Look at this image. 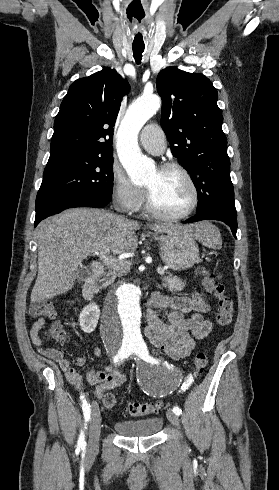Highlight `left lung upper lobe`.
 Masks as SVG:
<instances>
[{"mask_svg":"<svg viewBox=\"0 0 279 490\" xmlns=\"http://www.w3.org/2000/svg\"><path fill=\"white\" fill-rule=\"evenodd\" d=\"M161 126L174 157L189 172L198 193L196 213L216 209L236 215L227 138L217 90L203 74L167 67L157 76Z\"/></svg>","mask_w":279,"mask_h":490,"instance_id":"left-lung-upper-lobe-1","label":"left lung upper lobe"}]
</instances>
